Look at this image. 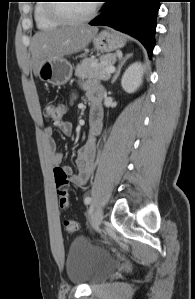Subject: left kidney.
Here are the masks:
<instances>
[{"label": "left kidney", "mask_w": 195, "mask_h": 299, "mask_svg": "<svg viewBox=\"0 0 195 299\" xmlns=\"http://www.w3.org/2000/svg\"><path fill=\"white\" fill-rule=\"evenodd\" d=\"M143 66L140 62L131 64L121 79L122 88L127 93L135 92L142 84Z\"/></svg>", "instance_id": "1"}]
</instances>
